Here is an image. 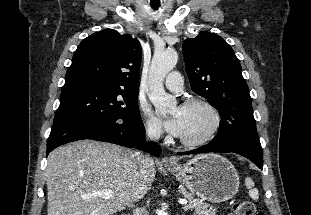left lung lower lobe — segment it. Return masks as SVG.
Segmentation results:
<instances>
[{
	"mask_svg": "<svg viewBox=\"0 0 311 215\" xmlns=\"http://www.w3.org/2000/svg\"><path fill=\"white\" fill-rule=\"evenodd\" d=\"M208 152H234L250 159L259 168L263 166V150L257 133L241 132L231 134L219 140H212L209 144L198 149L179 152V155L198 154Z\"/></svg>",
	"mask_w": 311,
	"mask_h": 215,
	"instance_id": "1",
	"label": "left lung lower lobe"
}]
</instances>
